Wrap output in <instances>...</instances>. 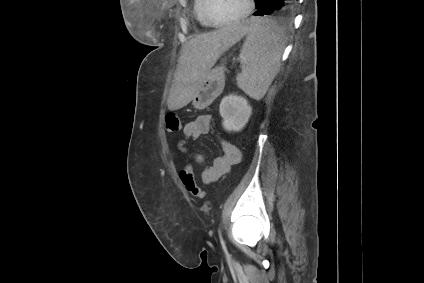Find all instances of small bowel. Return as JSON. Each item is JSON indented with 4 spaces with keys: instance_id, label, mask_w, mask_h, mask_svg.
Returning <instances> with one entry per match:
<instances>
[{
    "instance_id": "obj_1",
    "label": "small bowel",
    "mask_w": 424,
    "mask_h": 283,
    "mask_svg": "<svg viewBox=\"0 0 424 283\" xmlns=\"http://www.w3.org/2000/svg\"><path fill=\"white\" fill-rule=\"evenodd\" d=\"M212 117L209 114H203L196 117L193 121L188 122L184 128V139L178 142V149L183 153L189 152L187 140L197 139L202 135L208 134L211 130ZM222 155L216 157L209 165H205L201 172V180L203 184L208 185L217 181L221 176L229 172L232 165L237 164L241 159V151L230 141L223 140L221 143ZM195 161L199 164H205L204 156L200 153H194ZM185 167H192L187 164Z\"/></svg>"
}]
</instances>
